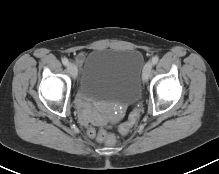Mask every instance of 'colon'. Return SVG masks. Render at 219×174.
Instances as JSON below:
<instances>
[{
  "mask_svg": "<svg viewBox=\"0 0 219 174\" xmlns=\"http://www.w3.org/2000/svg\"><path fill=\"white\" fill-rule=\"evenodd\" d=\"M139 116H140V110L138 108H135L131 112L128 120L120 126L119 128L120 133L122 135H127L130 132L131 128L139 119ZM87 134L89 137L96 138L97 140L101 142H105L108 145H113L115 143V136L107 132L105 129L96 130L92 127H89L87 129Z\"/></svg>",
  "mask_w": 219,
  "mask_h": 174,
  "instance_id": "5ec220e1",
  "label": "colon"
}]
</instances>
